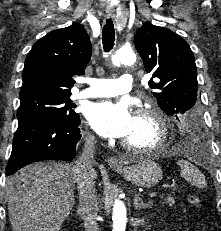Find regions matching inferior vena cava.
I'll return each instance as SVG.
<instances>
[{"mask_svg":"<svg viewBox=\"0 0 221 231\" xmlns=\"http://www.w3.org/2000/svg\"><path fill=\"white\" fill-rule=\"evenodd\" d=\"M94 146L95 138L90 135L86 138L83 153L75 164L79 211L84 220L85 231H98V224L96 222L98 201L95 189L97 174L93 168Z\"/></svg>","mask_w":221,"mask_h":231,"instance_id":"602c4592","label":"inferior vena cava"}]
</instances>
